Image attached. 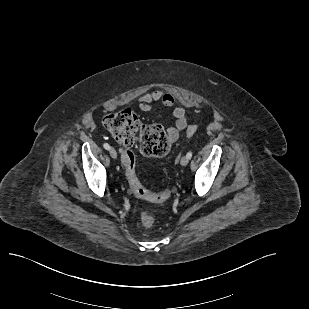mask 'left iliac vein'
I'll return each mask as SVG.
<instances>
[{
    "label": "left iliac vein",
    "mask_w": 309,
    "mask_h": 309,
    "mask_svg": "<svg viewBox=\"0 0 309 309\" xmlns=\"http://www.w3.org/2000/svg\"><path fill=\"white\" fill-rule=\"evenodd\" d=\"M188 162H189V159H188L187 156H183V157L181 158V160H180V164H181L182 166H186V165L188 164Z\"/></svg>",
    "instance_id": "4c4485c4"
}]
</instances>
